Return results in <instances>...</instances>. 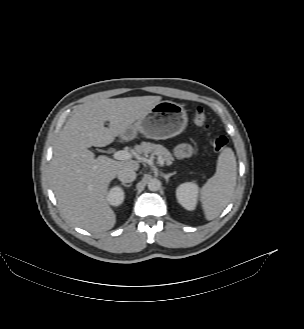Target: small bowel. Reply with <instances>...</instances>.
<instances>
[{"label":"small bowel","mask_w":304,"mask_h":329,"mask_svg":"<svg viewBox=\"0 0 304 329\" xmlns=\"http://www.w3.org/2000/svg\"><path fill=\"white\" fill-rule=\"evenodd\" d=\"M191 153H192L191 147L186 144L178 145L174 150L175 156L179 159L188 158L191 155Z\"/></svg>","instance_id":"c3829d8e"}]
</instances>
